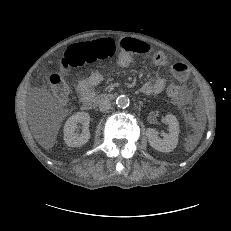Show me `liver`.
<instances>
[{"label": "liver", "instance_id": "liver-1", "mask_svg": "<svg viewBox=\"0 0 231 231\" xmlns=\"http://www.w3.org/2000/svg\"><path fill=\"white\" fill-rule=\"evenodd\" d=\"M57 130H58V126L55 128V133L57 132ZM54 138L55 136L48 138L47 141L42 140L40 144L47 149L53 145Z\"/></svg>", "mask_w": 231, "mask_h": 231}]
</instances>
